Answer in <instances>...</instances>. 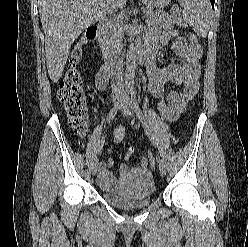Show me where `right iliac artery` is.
<instances>
[{"instance_id": "right-iliac-artery-1", "label": "right iliac artery", "mask_w": 248, "mask_h": 247, "mask_svg": "<svg viewBox=\"0 0 248 247\" xmlns=\"http://www.w3.org/2000/svg\"><path fill=\"white\" fill-rule=\"evenodd\" d=\"M118 108H119V105H115L111 110H110V113H109V119H108V123L110 124L114 118L116 117L117 115V112H118ZM105 138H106V135L103 136L102 138V141H101V144L99 146V148L97 149L96 151V154H99L101 152V149L103 147V144L105 142Z\"/></svg>"}]
</instances>
